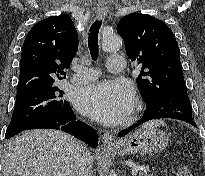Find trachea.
Segmentation results:
<instances>
[{
  "label": "trachea",
  "instance_id": "trachea-1",
  "mask_svg": "<svg viewBox=\"0 0 205 176\" xmlns=\"http://www.w3.org/2000/svg\"><path fill=\"white\" fill-rule=\"evenodd\" d=\"M102 21L96 20L90 27L88 37V47L93 60L98 57V35Z\"/></svg>",
  "mask_w": 205,
  "mask_h": 176
}]
</instances>
